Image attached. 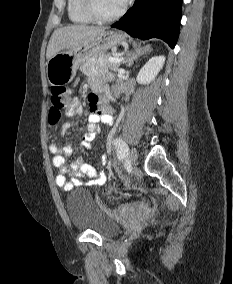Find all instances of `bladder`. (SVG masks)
Wrapping results in <instances>:
<instances>
[{"label": "bladder", "instance_id": "31cf9c89", "mask_svg": "<svg viewBox=\"0 0 233 284\" xmlns=\"http://www.w3.org/2000/svg\"><path fill=\"white\" fill-rule=\"evenodd\" d=\"M66 209L72 226L79 231H91L101 237H112L119 224L110 218L85 189H74L66 198Z\"/></svg>", "mask_w": 233, "mask_h": 284}]
</instances>
